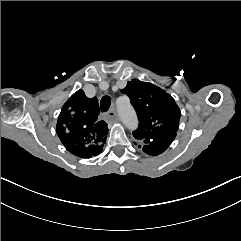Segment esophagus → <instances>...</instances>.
<instances>
[{"mask_svg": "<svg viewBox=\"0 0 241 241\" xmlns=\"http://www.w3.org/2000/svg\"><path fill=\"white\" fill-rule=\"evenodd\" d=\"M106 117H107V118H110V119H112V120H116V121L119 120V116H118L115 108H111V109L107 112Z\"/></svg>", "mask_w": 241, "mask_h": 241, "instance_id": "1", "label": "esophagus"}]
</instances>
